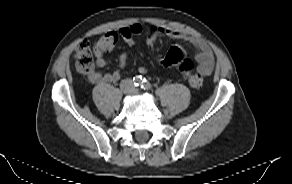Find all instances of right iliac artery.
<instances>
[{
  "mask_svg": "<svg viewBox=\"0 0 292 184\" xmlns=\"http://www.w3.org/2000/svg\"><path fill=\"white\" fill-rule=\"evenodd\" d=\"M133 81H134V85L135 86H141V83H142V77L141 76H136L133 78Z\"/></svg>",
  "mask_w": 292,
  "mask_h": 184,
  "instance_id": "1",
  "label": "right iliac artery"
}]
</instances>
